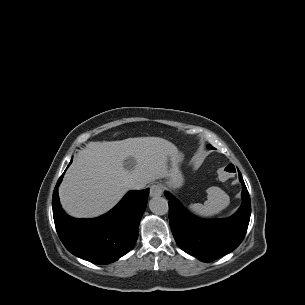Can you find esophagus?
Segmentation results:
<instances>
[{"label": "esophagus", "instance_id": "esophagus-1", "mask_svg": "<svg viewBox=\"0 0 305 305\" xmlns=\"http://www.w3.org/2000/svg\"><path fill=\"white\" fill-rule=\"evenodd\" d=\"M162 194V186L160 184H153L150 186V196L157 197Z\"/></svg>", "mask_w": 305, "mask_h": 305}]
</instances>
